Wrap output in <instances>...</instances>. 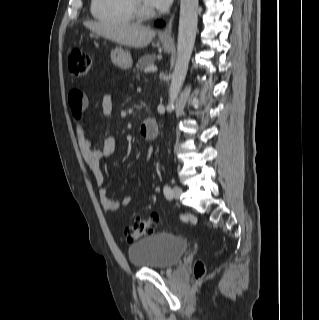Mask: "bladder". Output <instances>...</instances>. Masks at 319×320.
<instances>
[{
	"mask_svg": "<svg viewBox=\"0 0 319 320\" xmlns=\"http://www.w3.org/2000/svg\"><path fill=\"white\" fill-rule=\"evenodd\" d=\"M187 242L169 233L146 235L128 247L133 267L162 270L179 263L187 251Z\"/></svg>",
	"mask_w": 319,
	"mask_h": 320,
	"instance_id": "obj_1",
	"label": "bladder"
}]
</instances>
